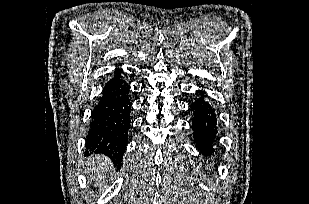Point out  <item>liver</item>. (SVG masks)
Here are the masks:
<instances>
[{"mask_svg": "<svg viewBox=\"0 0 309 204\" xmlns=\"http://www.w3.org/2000/svg\"><path fill=\"white\" fill-rule=\"evenodd\" d=\"M86 173L90 181L95 182V187H101L113 170L112 162L103 155H94L88 158L86 163Z\"/></svg>", "mask_w": 309, "mask_h": 204, "instance_id": "liver-1", "label": "liver"}]
</instances>
